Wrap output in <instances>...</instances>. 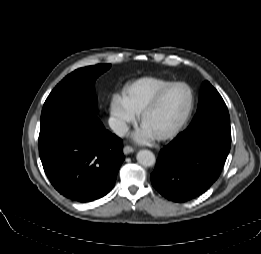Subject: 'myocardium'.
<instances>
[{
  "label": "myocardium",
  "mask_w": 261,
  "mask_h": 254,
  "mask_svg": "<svg viewBox=\"0 0 261 254\" xmlns=\"http://www.w3.org/2000/svg\"><path fill=\"white\" fill-rule=\"evenodd\" d=\"M175 86H184L188 89L189 91V96H190V100H189V106L188 109L186 111V113L184 114V116L182 117V119L180 120V122L171 130L167 131V132H163L160 134H157L155 136H153V138L157 141H166L169 139H172L174 137H176L185 127V125L187 124L188 120L191 117V114L193 112L194 106H195V94L194 91L192 90V88L185 82L182 81H176V82H171L169 83L167 86H165L154 98L153 100L143 108V110L140 112V117H139V122L140 125H143V122L146 118V116L152 112L160 103V101L162 100V98L164 97V95L173 87Z\"/></svg>",
  "instance_id": "1"
}]
</instances>
